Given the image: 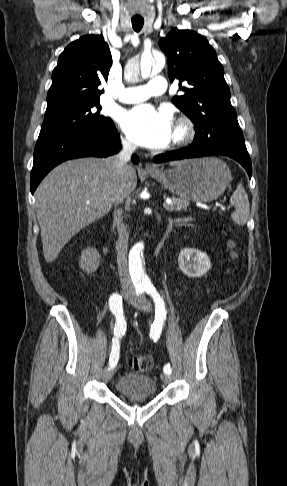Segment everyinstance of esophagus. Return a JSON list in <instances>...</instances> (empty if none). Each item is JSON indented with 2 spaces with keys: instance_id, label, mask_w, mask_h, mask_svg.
Segmentation results:
<instances>
[{
  "instance_id": "34e87169",
  "label": "esophagus",
  "mask_w": 287,
  "mask_h": 486,
  "mask_svg": "<svg viewBox=\"0 0 287 486\" xmlns=\"http://www.w3.org/2000/svg\"><path fill=\"white\" fill-rule=\"evenodd\" d=\"M145 169L147 171H155L156 170V168L154 166H152L151 164H149V163H146Z\"/></svg>"
}]
</instances>
